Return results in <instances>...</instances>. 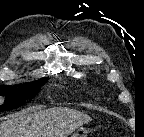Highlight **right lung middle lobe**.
<instances>
[{"mask_svg": "<svg viewBox=\"0 0 144 137\" xmlns=\"http://www.w3.org/2000/svg\"><path fill=\"white\" fill-rule=\"evenodd\" d=\"M46 82L47 78H42L39 81H35L21 89L11 92V95L5 100L4 104L0 106V111L12 110L23 105L27 99L33 98L40 91L41 85ZM8 91L9 87L7 86L0 88V94L7 93Z\"/></svg>", "mask_w": 144, "mask_h": 137, "instance_id": "dd1d6c3e", "label": "right lung middle lobe"}]
</instances>
